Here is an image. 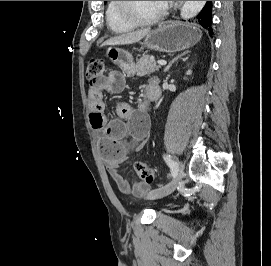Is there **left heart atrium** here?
Masks as SVG:
<instances>
[{
	"label": "left heart atrium",
	"mask_w": 271,
	"mask_h": 266,
	"mask_svg": "<svg viewBox=\"0 0 271 266\" xmlns=\"http://www.w3.org/2000/svg\"><path fill=\"white\" fill-rule=\"evenodd\" d=\"M161 2H162V4H163V3L165 4V3L168 2V1H161Z\"/></svg>",
	"instance_id": "1"
}]
</instances>
